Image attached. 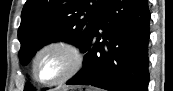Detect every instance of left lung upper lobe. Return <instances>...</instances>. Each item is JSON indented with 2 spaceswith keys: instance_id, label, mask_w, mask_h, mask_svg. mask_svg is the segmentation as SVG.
Returning <instances> with one entry per match:
<instances>
[{
  "instance_id": "1",
  "label": "left lung upper lobe",
  "mask_w": 173,
  "mask_h": 91,
  "mask_svg": "<svg viewBox=\"0 0 173 91\" xmlns=\"http://www.w3.org/2000/svg\"><path fill=\"white\" fill-rule=\"evenodd\" d=\"M107 1L27 0L18 29L21 63L27 65L39 48L53 41H66L83 51ZM31 90L26 83L24 91Z\"/></svg>"
}]
</instances>
